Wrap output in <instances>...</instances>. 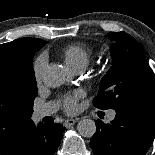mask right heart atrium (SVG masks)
<instances>
[{"instance_id":"1","label":"right heart atrium","mask_w":155,"mask_h":155,"mask_svg":"<svg viewBox=\"0 0 155 155\" xmlns=\"http://www.w3.org/2000/svg\"><path fill=\"white\" fill-rule=\"evenodd\" d=\"M48 58L46 54H40L34 62V76L37 82H40L43 78Z\"/></svg>"}]
</instances>
